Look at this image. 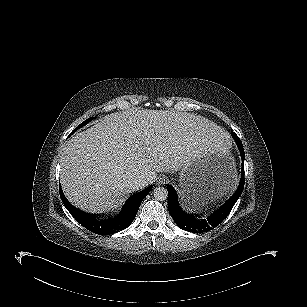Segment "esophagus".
<instances>
[{
    "mask_svg": "<svg viewBox=\"0 0 307 307\" xmlns=\"http://www.w3.org/2000/svg\"><path fill=\"white\" fill-rule=\"evenodd\" d=\"M168 179L166 177H160L157 181V184L159 185H163L165 183H167Z\"/></svg>",
    "mask_w": 307,
    "mask_h": 307,
    "instance_id": "34e87169",
    "label": "esophagus"
}]
</instances>
